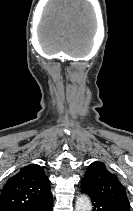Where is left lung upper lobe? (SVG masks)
Masks as SVG:
<instances>
[{"label": "left lung upper lobe", "mask_w": 133, "mask_h": 211, "mask_svg": "<svg viewBox=\"0 0 133 211\" xmlns=\"http://www.w3.org/2000/svg\"><path fill=\"white\" fill-rule=\"evenodd\" d=\"M81 190L129 207L126 190L118 177L99 161L93 162L81 180Z\"/></svg>", "instance_id": "obj_1"}]
</instances>
